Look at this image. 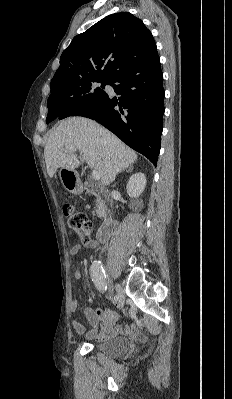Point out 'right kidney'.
<instances>
[{
  "mask_svg": "<svg viewBox=\"0 0 232 399\" xmlns=\"http://www.w3.org/2000/svg\"><path fill=\"white\" fill-rule=\"evenodd\" d=\"M146 186V178L144 174L138 172V174H133L131 176L127 186V194L130 198H134L136 201L137 207H143L144 203L142 200H138L139 196H141L142 192H144Z\"/></svg>",
  "mask_w": 232,
  "mask_h": 399,
  "instance_id": "ca27d5eb",
  "label": "right kidney"
}]
</instances>
